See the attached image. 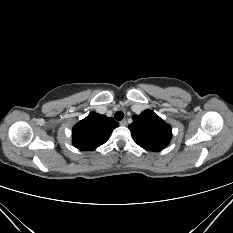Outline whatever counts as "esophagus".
<instances>
[{
	"mask_svg": "<svg viewBox=\"0 0 233 233\" xmlns=\"http://www.w3.org/2000/svg\"><path fill=\"white\" fill-rule=\"evenodd\" d=\"M119 124H120L121 126H126L127 121H126L125 119H123V120H121V121L119 122Z\"/></svg>",
	"mask_w": 233,
	"mask_h": 233,
	"instance_id": "esophagus-1",
	"label": "esophagus"
}]
</instances>
